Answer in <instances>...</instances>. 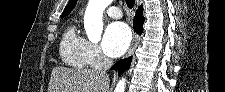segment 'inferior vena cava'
Wrapping results in <instances>:
<instances>
[{"label": "inferior vena cava", "instance_id": "obj_1", "mask_svg": "<svg viewBox=\"0 0 225 92\" xmlns=\"http://www.w3.org/2000/svg\"><path fill=\"white\" fill-rule=\"evenodd\" d=\"M113 61L110 58L104 57V67H103V71H107L108 69H110V67L112 66Z\"/></svg>", "mask_w": 225, "mask_h": 92}]
</instances>
